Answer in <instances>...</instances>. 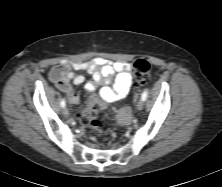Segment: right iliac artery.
<instances>
[{
	"label": "right iliac artery",
	"instance_id": "right-iliac-artery-1",
	"mask_svg": "<svg viewBox=\"0 0 222 187\" xmlns=\"http://www.w3.org/2000/svg\"><path fill=\"white\" fill-rule=\"evenodd\" d=\"M60 105H61V107H65L66 102H65V100H64V99H63V100L60 102Z\"/></svg>",
	"mask_w": 222,
	"mask_h": 187
}]
</instances>
